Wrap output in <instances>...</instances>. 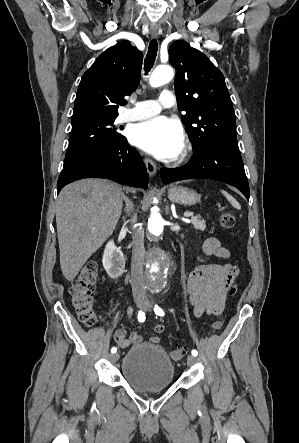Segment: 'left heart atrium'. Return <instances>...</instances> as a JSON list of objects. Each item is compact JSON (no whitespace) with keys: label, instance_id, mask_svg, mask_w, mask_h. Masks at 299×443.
Listing matches in <instances>:
<instances>
[{"label":"left heart atrium","instance_id":"39dd6f15","mask_svg":"<svg viewBox=\"0 0 299 443\" xmlns=\"http://www.w3.org/2000/svg\"><path fill=\"white\" fill-rule=\"evenodd\" d=\"M136 147L163 160L179 156L184 146L181 124L165 116H158L135 125L129 134Z\"/></svg>","mask_w":299,"mask_h":443}]
</instances>
